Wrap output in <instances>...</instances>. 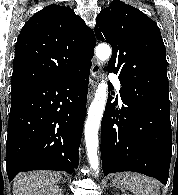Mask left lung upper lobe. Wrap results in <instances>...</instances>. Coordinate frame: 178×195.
<instances>
[{"label": "left lung upper lobe", "instance_id": "obj_1", "mask_svg": "<svg viewBox=\"0 0 178 195\" xmlns=\"http://www.w3.org/2000/svg\"><path fill=\"white\" fill-rule=\"evenodd\" d=\"M96 22V38L112 46L108 70L119 74L122 87L170 103L166 50L157 24L119 0L101 10Z\"/></svg>", "mask_w": 178, "mask_h": 195}]
</instances>
